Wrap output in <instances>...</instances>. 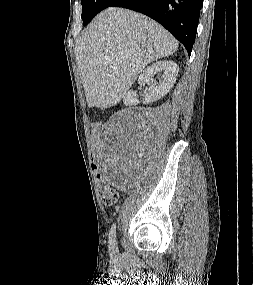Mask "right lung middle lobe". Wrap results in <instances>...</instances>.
<instances>
[{
	"instance_id": "dd1d6c3e",
	"label": "right lung middle lobe",
	"mask_w": 253,
	"mask_h": 285,
	"mask_svg": "<svg viewBox=\"0 0 253 285\" xmlns=\"http://www.w3.org/2000/svg\"><path fill=\"white\" fill-rule=\"evenodd\" d=\"M116 0H81L83 26L88 24L99 12L109 7Z\"/></svg>"
}]
</instances>
